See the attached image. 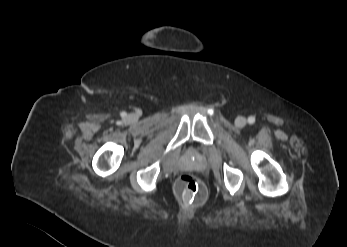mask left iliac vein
Wrapping results in <instances>:
<instances>
[{"instance_id":"obj_1","label":"left iliac vein","mask_w":347,"mask_h":247,"mask_svg":"<svg viewBox=\"0 0 347 247\" xmlns=\"http://www.w3.org/2000/svg\"><path fill=\"white\" fill-rule=\"evenodd\" d=\"M247 123V120L245 117L243 116H238L236 119H235V125L239 128H243Z\"/></svg>"}]
</instances>
